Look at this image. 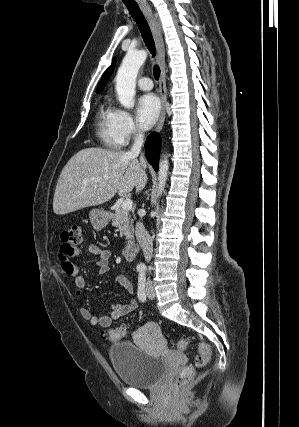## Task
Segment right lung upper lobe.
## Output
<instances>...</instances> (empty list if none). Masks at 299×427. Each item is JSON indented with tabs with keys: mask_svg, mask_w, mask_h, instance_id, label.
<instances>
[{
	"mask_svg": "<svg viewBox=\"0 0 299 427\" xmlns=\"http://www.w3.org/2000/svg\"><path fill=\"white\" fill-rule=\"evenodd\" d=\"M115 64H116V59L114 58L113 61H112V65L104 72V74H103V76H102V78L100 80V83H99L98 88H97V93H99L102 90L103 86L109 80V77H110V75L112 74V72L114 70Z\"/></svg>",
	"mask_w": 299,
	"mask_h": 427,
	"instance_id": "right-lung-upper-lobe-1",
	"label": "right lung upper lobe"
}]
</instances>
